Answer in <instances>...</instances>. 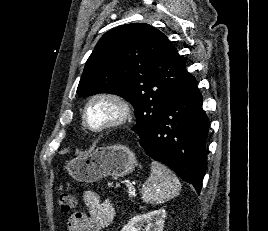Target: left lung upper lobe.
Wrapping results in <instances>:
<instances>
[{
  "instance_id": "left-lung-upper-lobe-1",
  "label": "left lung upper lobe",
  "mask_w": 268,
  "mask_h": 231,
  "mask_svg": "<svg viewBox=\"0 0 268 231\" xmlns=\"http://www.w3.org/2000/svg\"><path fill=\"white\" fill-rule=\"evenodd\" d=\"M191 75L176 48L158 29L125 24L105 33L88 58L77 93H112L134 106L138 135L159 119L170 96Z\"/></svg>"
}]
</instances>
